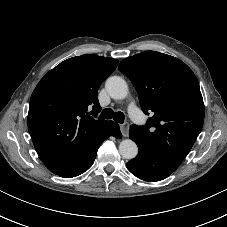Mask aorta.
<instances>
[{"instance_id":"aorta-1","label":"aorta","mask_w":227,"mask_h":227,"mask_svg":"<svg viewBox=\"0 0 227 227\" xmlns=\"http://www.w3.org/2000/svg\"><path fill=\"white\" fill-rule=\"evenodd\" d=\"M105 88L111 98L121 100L128 95V85L119 76H112L107 79ZM119 152L124 159L131 160L138 154V147L131 139H124L119 144Z\"/></svg>"}]
</instances>
